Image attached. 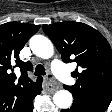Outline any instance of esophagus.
<instances>
[{"mask_svg":"<svg viewBox=\"0 0 112 112\" xmlns=\"http://www.w3.org/2000/svg\"><path fill=\"white\" fill-rule=\"evenodd\" d=\"M44 89L49 93H54L58 90V85L55 82V80L51 77V75H48L44 77Z\"/></svg>","mask_w":112,"mask_h":112,"instance_id":"obj_1","label":"esophagus"}]
</instances>
